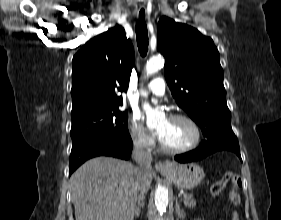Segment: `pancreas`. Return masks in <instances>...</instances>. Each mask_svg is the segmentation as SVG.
<instances>
[{
    "label": "pancreas",
    "instance_id": "cf45deb5",
    "mask_svg": "<svg viewBox=\"0 0 281 220\" xmlns=\"http://www.w3.org/2000/svg\"><path fill=\"white\" fill-rule=\"evenodd\" d=\"M183 201L184 204L189 208L196 206V200L194 199L193 195L185 194Z\"/></svg>",
    "mask_w": 281,
    "mask_h": 220
}]
</instances>
